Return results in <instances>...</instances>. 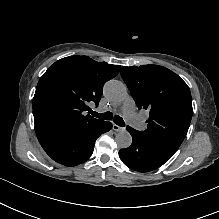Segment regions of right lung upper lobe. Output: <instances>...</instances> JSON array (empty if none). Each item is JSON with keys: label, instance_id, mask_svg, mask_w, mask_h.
<instances>
[{"label": "right lung upper lobe", "instance_id": "obj_1", "mask_svg": "<svg viewBox=\"0 0 219 219\" xmlns=\"http://www.w3.org/2000/svg\"><path fill=\"white\" fill-rule=\"evenodd\" d=\"M119 70V65L96 62L87 56L56 61L40 78L33 98L36 133L89 128L102 122L84 114L90 109L88 105L98 106L104 84Z\"/></svg>", "mask_w": 219, "mask_h": 219}]
</instances>
